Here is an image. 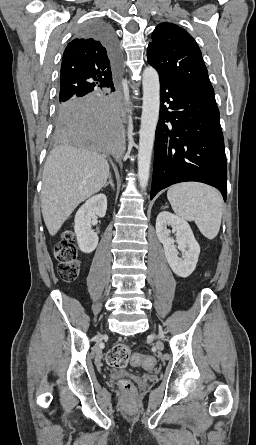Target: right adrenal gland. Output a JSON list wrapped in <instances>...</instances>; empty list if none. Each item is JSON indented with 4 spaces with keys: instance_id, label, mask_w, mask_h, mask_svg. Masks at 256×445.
Returning a JSON list of instances; mask_svg holds the SVG:
<instances>
[{
    "instance_id": "2a0ac1e0",
    "label": "right adrenal gland",
    "mask_w": 256,
    "mask_h": 445,
    "mask_svg": "<svg viewBox=\"0 0 256 445\" xmlns=\"http://www.w3.org/2000/svg\"><path fill=\"white\" fill-rule=\"evenodd\" d=\"M108 179H109L108 182H106L103 187L106 188L110 184L111 187L114 189V183L111 177V173H109Z\"/></svg>"
}]
</instances>
